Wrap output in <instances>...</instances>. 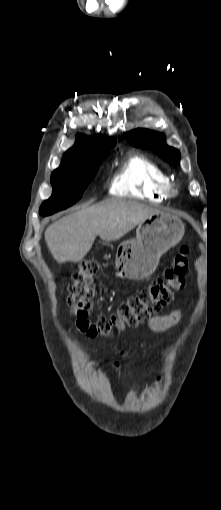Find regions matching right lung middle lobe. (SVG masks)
I'll use <instances>...</instances> for the list:
<instances>
[{"mask_svg":"<svg viewBox=\"0 0 221 510\" xmlns=\"http://www.w3.org/2000/svg\"><path fill=\"white\" fill-rule=\"evenodd\" d=\"M104 155L84 159L78 163L61 164L51 175L52 196L43 202L39 212L51 215L66 209L82 197L83 191L94 178Z\"/></svg>","mask_w":221,"mask_h":510,"instance_id":"1","label":"right lung middle lobe"}]
</instances>
